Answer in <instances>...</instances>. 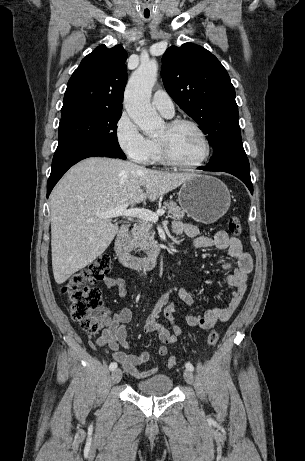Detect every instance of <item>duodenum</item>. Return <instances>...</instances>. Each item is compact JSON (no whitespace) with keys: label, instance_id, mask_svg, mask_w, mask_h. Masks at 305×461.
Returning <instances> with one entry per match:
<instances>
[{"label":"duodenum","instance_id":"duodenum-1","mask_svg":"<svg viewBox=\"0 0 305 461\" xmlns=\"http://www.w3.org/2000/svg\"><path fill=\"white\" fill-rule=\"evenodd\" d=\"M127 235L128 227L124 225L120 228L114 240L113 248L116 261L122 266L135 269L151 270L155 268L159 261L160 251L154 249L143 257L134 256L125 249Z\"/></svg>","mask_w":305,"mask_h":461}]
</instances>
